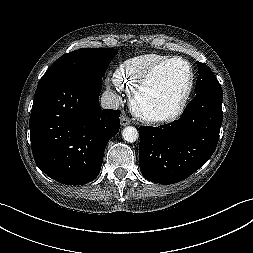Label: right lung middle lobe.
<instances>
[{
  "label": "right lung middle lobe",
  "mask_w": 253,
  "mask_h": 253,
  "mask_svg": "<svg viewBox=\"0 0 253 253\" xmlns=\"http://www.w3.org/2000/svg\"><path fill=\"white\" fill-rule=\"evenodd\" d=\"M116 53V49L82 48L64 54L47 70L40 82L60 76L95 77L102 80Z\"/></svg>",
  "instance_id": "1"
}]
</instances>
